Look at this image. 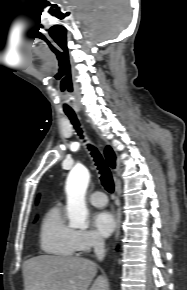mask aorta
Instances as JSON below:
<instances>
[{
	"label": "aorta",
	"mask_w": 187,
	"mask_h": 290,
	"mask_svg": "<svg viewBox=\"0 0 187 290\" xmlns=\"http://www.w3.org/2000/svg\"><path fill=\"white\" fill-rule=\"evenodd\" d=\"M90 174L84 166L74 167L66 181L67 213L69 225L72 228L87 229L88 210L85 194L89 184Z\"/></svg>",
	"instance_id": "aorta-1"
}]
</instances>
